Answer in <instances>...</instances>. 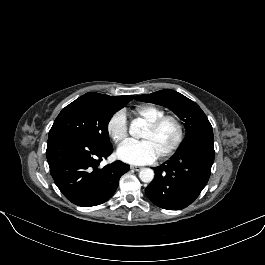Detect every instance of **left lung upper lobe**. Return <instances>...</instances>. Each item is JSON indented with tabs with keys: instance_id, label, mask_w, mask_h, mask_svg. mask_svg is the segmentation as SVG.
Segmentation results:
<instances>
[{
	"instance_id": "left-lung-upper-lobe-1",
	"label": "left lung upper lobe",
	"mask_w": 265,
	"mask_h": 265,
	"mask_svg": "<svg viewBox=\"0 0 265 265\" xmlns=\"http://www.w3.org/2000/svg\"><path fill=\"white\" fill-rule=\"evenodd\" d=\"M136 100L158 104L169 108L185 122L186 138L196 132L212 128L201 108L192 100L174 90H160L147 95H139Z\"/></svg>"
}]
</instances>
